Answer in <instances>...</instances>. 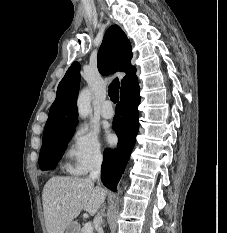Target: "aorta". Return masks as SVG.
Here are the masks:
<instances>
[{"label":"aorta","instance_id":"1","mask_svg":"<svg viewBox=\"0 0 227 233\" xmlns=\"http://www.w3.org/2000/svg\"><path fill=\"white\" fill-rule=\"evenodd\" d=\"M90 100L91 95L88 89H84L79 93L77 105L81 118H85L91 113Z\"/></svg>","mask_w":227,"mask_h":233}]
</instances>
